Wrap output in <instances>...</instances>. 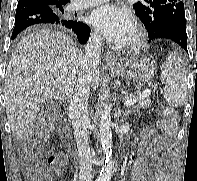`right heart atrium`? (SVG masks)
Wrapping results in <instances>:
<instances>
[{
	"label": "right heart atrium",
	"mask_w": 197,
	"mask_h": 181,
	"mask_svg": "<svg viewBox=\"0 0 197 181\" xmlns=\"http://www.w3.org/2000/svg\"><path fill=\"white\" fill-rule=\"evenodd\" d=\"M94 38H95V39H98V37H97V36H94Z\"/></svg>",
	"instance_id": "1"
}]
</instances>
